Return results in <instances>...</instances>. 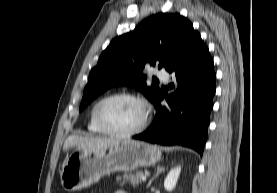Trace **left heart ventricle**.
I'll use <instances>...</instances> for the list:
<instances>
[{
    "instance_id": "obj_1",
    "label": "left heart ventricle",
    "mask_w": 277,
    "mask_h": 193,
    "mask_svg": "<svg viewBox=\"0 0 277 193\" xmlns=\"http://www.w3.org/2000/svg\"><path fill=\"white\" fill-rule=\"evenodd\" d=\"M143 106L129 99L110 101L102 107L101 118L104 124L114 131H128L137 127L142 121Z\"/></svg>"
}]
</instances>
